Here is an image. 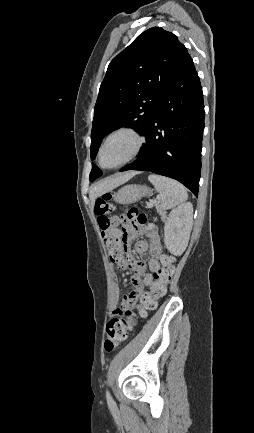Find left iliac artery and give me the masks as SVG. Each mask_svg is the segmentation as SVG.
Wrapping results in <instances>:
<instances>
[{"mask_svg":"<svg viewBox=\"0 0 254 433\" xmlns=\"http://www.w3.org/2000/svg\"><path fill=\"white\" fill-rule=\"evenodd\" d=\"M106 398L109 405L114 404V401L112 399V396L110 395L109 391H106Z\"/></svg>","mask_w":254,"mask_h":433,"instance_id":"obj_1","label":"left iliac artery"}]
</instances>
